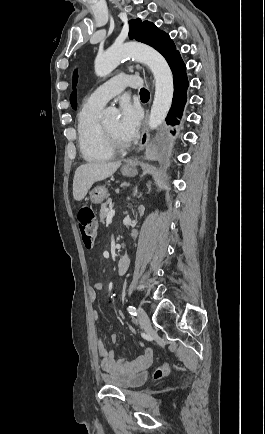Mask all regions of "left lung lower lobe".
I'll return each instance as SVG.
<instances>
[{"mask_svg":"<svg viewBox=\"0 0 265 434\" xmlns=\"http://www.w3.org/2000/svg\"><path fill=\"white\" fill-rule=\"evenodd\" d=\"M170 67L173 72L174 96L166 121L168 124L175 126L179 125V119L182 118L184 106L187 100V88L189 83L186 75V67L180 55H177L172 60ZM171 133L175 135V131H171ZM181 136V133H179L175 137L174 141H179Z\"/></svg>","mask_w":265,"mask_h":434,"instance_id":"left-lung-lower-lobe-1","label":"left lung lower lobe"}]
</instances>
